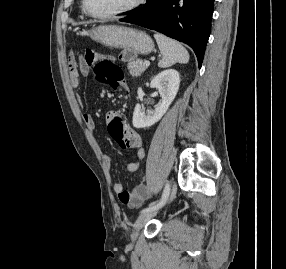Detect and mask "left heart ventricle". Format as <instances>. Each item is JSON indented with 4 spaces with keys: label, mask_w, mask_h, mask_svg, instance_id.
Instances as JSON below:
<instances>
[{
    "label": "left heart ventricle",
    "mask_w": 286,
    "mask_h": 269,
    "mask_svg": "<svg viewBox=\"0 0 286 269\" xmlns=\"http://www.w3.org/2000/svg\"><path fill=\"white\" fill-rule=\"evenodd\" d=\"M133 0H88L89 9L95 14H107L129 5Z\"/></svg>",
    "instance_id": "obj_1"
}]
</instances>
